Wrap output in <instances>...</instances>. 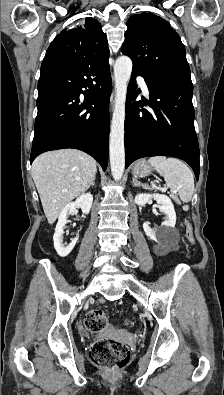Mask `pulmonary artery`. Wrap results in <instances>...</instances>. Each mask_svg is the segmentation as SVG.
Returning a JSON list of instances; mask_svg holds the SVG:
<instances>
[{
  "label": "pulmonary artery",
  "mask_w": 224,
  "mask_h": 395,
  "mask_svg": "<svg viewBox=\"0 0 224 395\" xmlns=\"http://www.w3.org/2000/svg\"><path fill=\"white\" fill-rule=\"evenodd\" d=\"M137 80H138V83H139L143 93L148 95L149 94V90H148L147 84L145 82V79L143 77L139 76L137 78Z\"/></svg>",
  "instance_id": "obj_1"
}]
</instances>
